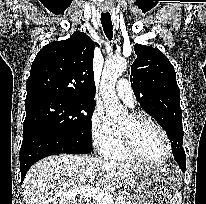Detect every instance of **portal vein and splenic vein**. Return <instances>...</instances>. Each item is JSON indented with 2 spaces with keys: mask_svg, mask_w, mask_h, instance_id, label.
Masks as SVG:
<instances>
[{
  "mask_svg": "<svg viewBox=\"0 0 206 204\" xmlns=\"http://www.w3.org/2000/svg\"><path fill=\"white\" fill-rule=\"evenodd\" d=\"M63 194L68 196L79 195L84 198L95 199L99 204H114V199L110 193L87 186ZM122 199V196H118L115 200L116 202H120Z\"/></svg>",
  "mask_w": 206,
  "mask_h": 204,
  "instance_id": "portal-vein-and-splenic-vein-1",
  "label": "portal vein and splenic vein"
}]
</instances>
